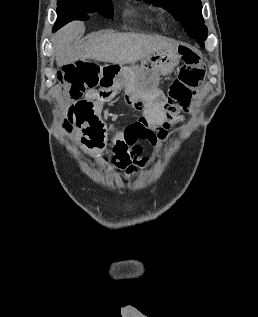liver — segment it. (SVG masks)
<instances>
[{
	"label": "liver",
	"mask_w": 258,
	"mask_h": 317,
	"mask_svg": "<svg viewBox=\"0 0 258 317\" xmlns=\"http://www.w3.org/2000/svg\"><path fill=\"white\" fill-rule=\"evenodd\" d=\"M84 30L82 20H72L56 32L53 44L58 66L90 58L113 64H129L142 60L155 50H171L177 46L171 38L141 32H105L91 36L79 46L72 44L77 36H82Z\"/></svg>",
	"instance_id": "obj_1"
}]
</instances>
